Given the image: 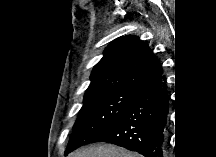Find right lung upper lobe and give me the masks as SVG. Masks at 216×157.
<instances>
[{"label": "right lung upper lobe", "instance_id": "cb5924a9", "mask_svg": "<svg viewBox=\"0 0 216 157\" xmlns=\"http://www.w3.org/2000/svg\"><path fill=\"white\" fill-rule=\"evenodd\" d=\"M163 73L161 64L146 43L130 35L117 38L94 66L84 98L115 89H136Z\"/></svg>", "mask_w": 216, "mask_h": 157}]
</instances>
